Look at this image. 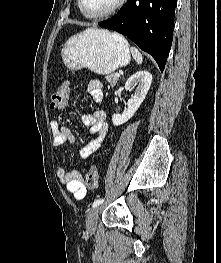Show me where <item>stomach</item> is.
I'll use <instances>...</instances> for the list:
<instances>
[{"mask_svg": "<svg viewBox=\"0 0 221 263\" xmlns=\"http://www.w3.org/2000/svg\"><path fill=\"white\" fill-rule=\"evenodd\" d=\"M64 64L71 70L88 68L106 75L130 62L129 45L118 33L86 30L70 38L61 50Z\"/></svg>", "mask_w": 221, "mask_h": 263, "instance_id": "1", "label": "stomach"}]
</instances>
